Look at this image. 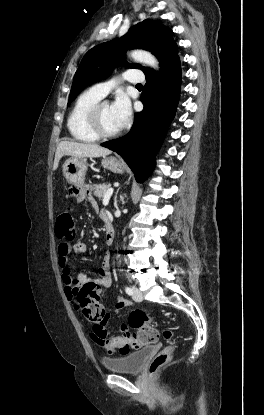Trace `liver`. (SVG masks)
Here are the masks:
<instances>
[{
	"mask_svg": "<svg viewBox=\"0 0 264 415\" xmlns=\"http://www.w3.org/2000/svg\"><path fill=\"white\" fill-rule=\"evenodd\" d=\"M111 154V150L97 144L61 141L57 145L53 169L56 170L60 159L67 155L71 157H100Z\"/></svg>",
	"mask_w": 264,
	"mask_h": 415,
	"instance_id": "obj_1",
	"label": "liver"
}]
</instances>
